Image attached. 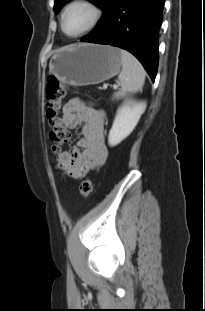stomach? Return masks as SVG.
Listing matches in <instances>:
<instances>
[{
	"mask_svg": "<svg viewBox=\"0 0 205 311\" xmlns=\"http://www.w3.org/2000/svg\"><path fill=\"white\" fill-rule=\"evenodd\" d=\"M121 50L110 45L78 44L55 51L49 73L73 86L99 84L117 75Z\"/></svg>",
	"mask_w": 205,
	"mask_h": 311,
	"instance_id": "stomach-1",
	"label": "stomach"
}]
</instances>
